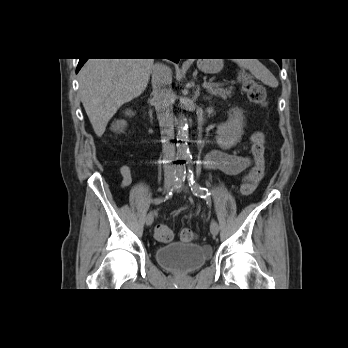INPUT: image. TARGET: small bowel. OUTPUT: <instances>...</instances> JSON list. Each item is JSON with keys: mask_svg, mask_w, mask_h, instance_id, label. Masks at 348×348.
I'll return each mask as SVG.
<instances>
[{"mask_svg": "<svg viewBox=\"0 0 348 348\" xmlns=\"http://www.w3.org/2000/svg\"><path fill=\"white\" fill-rule=\"evenodd\" d=\"M251 164V159L246 156L227 153L221 150H214L206 158L205 166L209 169L218 170L228 175H238L244 173ZM122 175V187H127L132 182L131 169L127 165L120 168ZM248 178L244 175V181Z\"/></svg>", "mask_w": 348, "mask_h": 348, "instance_id": "obj_1", "label": "small bowel"}]
</instances>
